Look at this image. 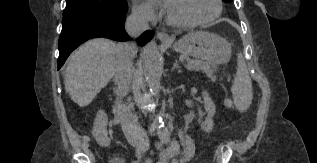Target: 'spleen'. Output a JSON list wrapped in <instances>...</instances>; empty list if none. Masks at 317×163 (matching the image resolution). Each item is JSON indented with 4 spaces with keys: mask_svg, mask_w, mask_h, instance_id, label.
Instances as JSON below:
<instances>
[{
    "mask_svg": "<svg viewBox=\"0 0 317 163\" xmlns=\"http://www.w3.org/2000/svg\"><path fill=\"white\" fill-rule=\"evenodd\" d=\"M231 91L236 107L241 111H245L252 100V83L246 62L241 53L238 54L237 73Z\"/></svg>",
    "mask_w": 317,
    "mask_h": 163,
    "instance_id": "spleen-1",
    "label": "spleen"
}]
</instances>
